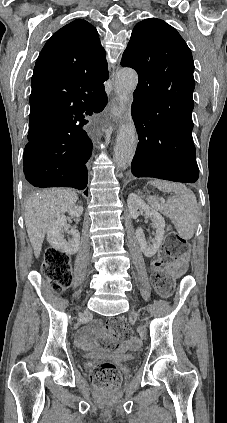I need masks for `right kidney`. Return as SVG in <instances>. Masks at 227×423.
Segmentation results:
<instances>
[{"mask_svg":"<svg viewBox=\"0 0 227 423\" xmlns=\"http://www.w3.org/2000/svg\"><path fill=\"white\" fill-rule=\"evenodd\" d=\"M82 211V206H74L72 210H69V215L80 217V215H82ZM64 229L72 235L68 241L63 235ZM47 241L50 245H52V247L59 249V251H65V253H77L80 243V233L78 229H75V227L68 229L66 215H58L57 219L52 221L47 229Z\"/></svg>","mask_w":227,"mask_h":423,"instance_id":"obj_1","label":"right kidney"}]
</instances>
